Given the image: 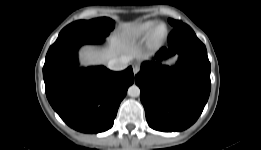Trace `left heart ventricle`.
<instances>
[{"mask_svg": "<svg viewBox=\"0 0 261 150\" xmlns=\"http://www.w3.org/2000/svg\"><path fill=\"white\" fill-rule=\"evenodd\" d=\"M164 29L163 28H160L159 29V34L163 33Z\"/></svg>", "mask_w": 261, "mask_h": 150, "instance_id": "left-heart-ventricle-1", "label": "left heart ventricle"}]
</instances>
